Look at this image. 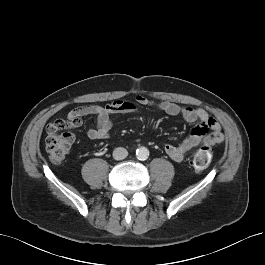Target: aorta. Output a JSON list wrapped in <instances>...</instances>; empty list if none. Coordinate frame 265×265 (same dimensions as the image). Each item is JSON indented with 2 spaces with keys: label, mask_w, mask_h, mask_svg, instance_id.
Returning <instances> with one entry per match:
<instances>
[{
  "label": "aorta",
  "mask_w": 265,
  "mask_h": 265,
  "mask_svg": "<svg viewBox=\"0 0 265 265\" xmlns=\"http://www.w3.org/2000/svg\"><path fill=\"white\" fill-rule=\"evenodd\" d=\"M136 156L139 160H146L149 156V150L142 146L136 150Z\"/></svg>",
  "instance_id": "762f6f07"
}]
</instances>
